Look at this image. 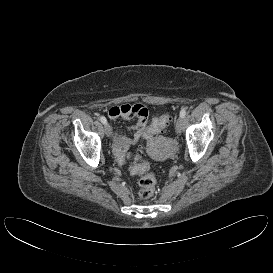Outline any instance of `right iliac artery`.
<instances>
[{"label":"right iliac artery","mask_w":273,"mask_h":273,"mask_svg":"<svg viewBox=\"0 0 273 273\" xmlns=\"http://www.w3.org/2000/svg\"><path fill=\"white\" fill-rule=\"evenodd\" d=\"M100 121L103 123V124H106L107 123V120L104 116H101L100 117Z\"/></svg>","instance_id":"right-iliac-artery-1"}]
</instances>
